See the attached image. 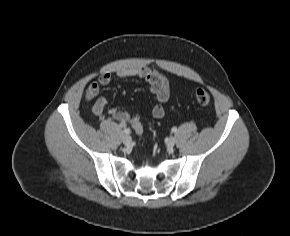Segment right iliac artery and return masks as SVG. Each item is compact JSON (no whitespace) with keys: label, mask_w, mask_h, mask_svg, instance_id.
<instances>
[{"label":"right iliac artery","mask_w":290,"mask_h":236,"mask_svg":"<svg viewBox=\"0 0 290 236\" xmlns=\"http://www.w3.org/2000/svg\"><path fill=\"white\" fill-rule=\"evenodd\" d=\"M124 133L129 134V133H130V130L127 129V128H125V129H124Z\"/></svg>","instance_id":"1"}]
</instances>
